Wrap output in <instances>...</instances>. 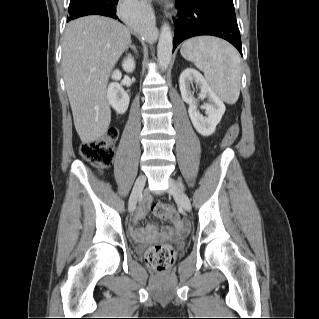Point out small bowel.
<instances>
[{"instance_id":"small-bowel-1","label":"small bowel","mask_w":319,"mask_h":319,"mask_svg":"<svg viewBox=\"0 0 319 319\" xmlns=\"http://www.w3.org/2000/svg\"><path fill=\"white\" fill-rule=\"evenodd\" d=\"M150 203L151 199L149 196H146L142 199L141 207L137 210L134 217V225H137V223L145 217L146 211L149 208ZM173 224L175 226L176 231L164 230L161 232L162 237H173L177 233L186 232L189 228L188 223L179 217H177V219L173 221ZM130 234L132 237L139 241H152L159 236L157 227L152 223L147 224V226L142 229L131 228Z\"/></svg>"}]
</instances>
